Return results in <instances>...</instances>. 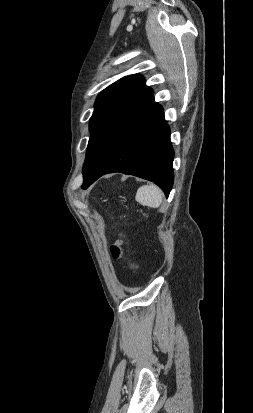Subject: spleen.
<instances>
[{
	"label": "spleen",
	"instance_id": "1",
	"mask_svg": "<svg viewBox=\"0 0 253 413\" xmlns=\"http://www.w3.org/2000/svg\"><path fill=\"white\" fill-rule=\"evenodd\" d=\"M163 199V192L154 184L141 186L136 193V200L143 206L158 208Z\"/></svg>",
	"mask_w": 253,
	"mask_h": 413
}]
</instances>
